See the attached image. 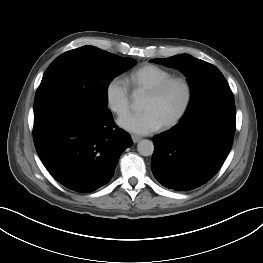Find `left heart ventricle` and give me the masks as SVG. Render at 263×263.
<instances>
[{
	"label": "left heart ventricle",
	"instance_id": "1",
	"mask_svg": "<svg viewBox=\"0 0 263 263\" xmlns=\"http://www.w3.org/2000/svg\"><path fill=\"white\" fill-rule=\"evenodd\" d=\"M184 97V88L180 84H173L160 97L146 94L142 103V109L154 110L165 123L179 110Z\"/></svg>",
	"mask_w": 263,
	"mask_h": 263
}]
</instances>
